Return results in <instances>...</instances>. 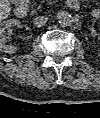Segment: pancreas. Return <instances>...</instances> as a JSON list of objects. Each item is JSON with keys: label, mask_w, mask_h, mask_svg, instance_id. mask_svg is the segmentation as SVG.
I'll list each match as a JSON object with an SVG mask.
<instances>
[{"label": "pancreas", "mask_w": 100, "mask_h": 118, "mask_svg": "<svg viewBox=\"0 0 100 118\" xmlns=\"http://www.w3.org/2000/svg\"><path fill=\"white\" fill-rule=\"evenodd\" d=\"M41 8V6H38V8L37 9H40Z\"/></svg>", "instance_id": "cf45deb5"}]
</instances>
